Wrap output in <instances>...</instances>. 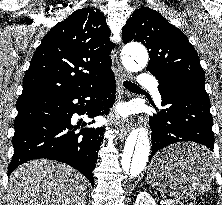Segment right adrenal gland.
Returning <instances> with one entry per match:
<instances>
[{
  "label": "right adrenal gland",
  "mask_w": 222,
  "mask_h": 205,
  "mask_svg": "<svg viewBox=\"0 0 222 205\" xmlns=\"http://www.w3.org/2000/svg\"><path fill=\"white\" fill-rule=\"evenodd\" d=\"M86 204V198L84 199V202H83V205H85Z\"/></svg>",
  "instance_id": "right-adrenal-gland-1"
}]
</instances>
